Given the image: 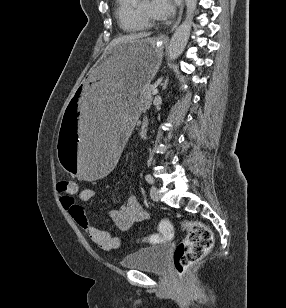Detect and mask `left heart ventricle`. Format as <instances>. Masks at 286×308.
<instances>
[{
  "label": "left heart ventricle",
  "mask_w": 286,
  "mask_h": 308,
  "mask_svg": "<svg viewBox=\"0 0 286 308\" xmlns=\"http://www.w3.org/2000/svg\"><path fill=\"white\" fill-rule=\"evenodd\" d=\"M137 7L144 14L154 18V15H153L152 9H151V1L150 0H145V1L141 2Z\"/></svg>",
  "instance_id": "left-heart-ventricle-1"
}]
</instances>
